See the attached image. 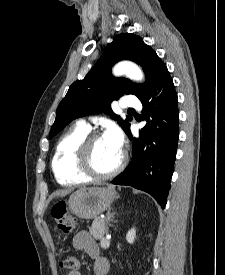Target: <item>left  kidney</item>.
<instances>
[{
    "label": "left kidney",
    "instance_id": "left-kidney-1",
    "mask_svg": "<svg viewBox=\"0 0 225 275\" xmlns=\"http://www.w3.org/2000/svg\"><path fill=\"white\" fill-rule=\"evenodd\" d=\"M135 238H136V230L132 228L131 230L128 231L126 235V240L128 243L133 244Z\"/></svg>",
    "mask_w": 225,
    "mask_h": 275
}]
</instances>
